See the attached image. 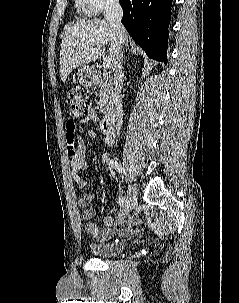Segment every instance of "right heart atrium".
I'll use <instances>...</instances> for the list:
<instances>
[{
    "mask_svg": "<svg viewBox=\"0 0 239 303\" xmlns=\"http://www.w3.org/2000/svg\"><path fill=\"white\" fill-rule=\"evenodd\" d=\"M119 0H76L78 8L88 16L96 15L118 4Z\"/></svg>",
    "mask_w": 239,
    "mask_h": 303,
    "instance_id": "1",
    "label": "right heart atrium"
}]
</instances>
